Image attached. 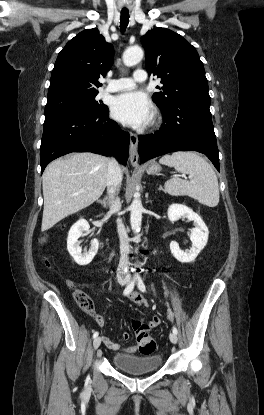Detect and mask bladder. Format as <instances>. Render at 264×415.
I'll return each instance as SVG.
<instances>
[{"label": "bladder", "mask_w": 264, "mask_h": 415, "mask_svg": "<svg viewBox=\"0 0 264 415\" xmlns=\"http://www.w3.org/2000/svg\"><path fill=\"white\" fill-rule=\"evenodd\" d=\"M112 361L114 366L127 373L140 374L158 370L162 366L163 358L158 354L144 356L117 354Z\"/></svg>", "instance_id": "obj_1"}]
</instances>
